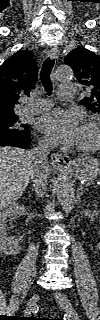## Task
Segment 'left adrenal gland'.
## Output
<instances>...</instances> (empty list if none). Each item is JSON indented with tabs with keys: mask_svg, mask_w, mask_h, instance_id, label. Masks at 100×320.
<instances>
[{
	"mask_svg": "<svg viewBox=\"0 0 100 320\" xmlns=\"http://www.w3.org/2000/svg\"><path fill=\"white\" fill-rule=\"evenodd\" d=\"M87 188H84L82 185H79L78 190H77V197L80 199V197L83 195L85 191H87Z\"/></svg>",
	"mask_w": 100,
	"mask_h": 320,
	"instance_id": "obj_1",
	"label": "left adrenal gland"
}]
</instances>
